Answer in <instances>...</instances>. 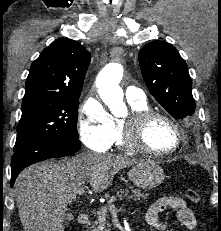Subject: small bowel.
<instances>
[{
    "mask_svg": "<svg viewBox=\"0 0 221 231\" xmlns=\"http://www.w3.org/2000/svg\"><path fill=\"white\" fill-rule=\"evenodd\" d=\"M166 209H172L177 212L178 220L189 230L197 231V219L193 211L187 206L185 200L178 196H165L156 200L146 213L147 223L157 229H161L158 216Z\"/></svg>",
    "mask_w": 221,
    "mask_h": 231,
    "instance_id": "c3829d8e",
    "label": "small bowel"
}]
</instances>
